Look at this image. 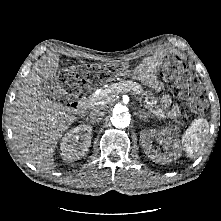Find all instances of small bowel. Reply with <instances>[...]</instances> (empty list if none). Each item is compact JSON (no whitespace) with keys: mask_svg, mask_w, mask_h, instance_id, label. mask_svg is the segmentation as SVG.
<instances>
[{"mask_svg":"<svg viewBox=\"0 0 221 221\" xmlns=\"http://www.w3.org/2000/svg\"><path fill=\"white\" fill-rule=\"evenodd\" d=\"M156 64L152 59H146L143 63L138 65L133 71V77L138 78L145 85L155 89H161V83L156 76ZM169 100L165 96L163 102L167 103Z\"/></svg>","mask_w":221,"mask_h":221,"instance_id":"obj_1","label":"small bowel"}]
</instances>
